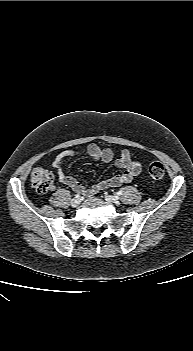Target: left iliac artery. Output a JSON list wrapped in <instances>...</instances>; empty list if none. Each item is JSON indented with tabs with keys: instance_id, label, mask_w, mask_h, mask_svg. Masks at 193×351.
<instances>
[{
	"instance_id": "1",
	"label": "left iliac artery",
	"mask_w": 193,
	"mask_h": 351,
	"mask_svg": "<svg viewBox=\"0 0 193 351\" xmlns=\"http://www.w3.org/2000/svg\"><path fill=\"white\" fill-rule=\"evenodd\" d=\"M121 195H122V191L116 192V197L121 196Z\"/></svg>"
}]
</instances>
